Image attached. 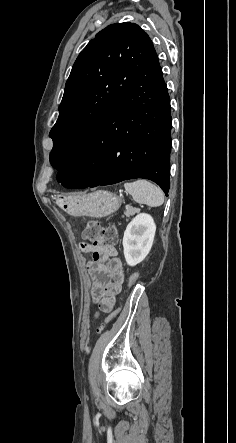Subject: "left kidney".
<instances>
[{
  "label": "left kidney",
  "instance_id": "5707ae66",
  "mask_svg": "<svg viewBox=\"0 0 236 443\" xmlns=\"http://www.w3.org/2000/svg\"><path fill=\"white\" fill-rule=\"evenodd\" d=\"M155 232L154 220L146 213L138 214L128 224L122 242L128 265L135 266L146 258L152 248Z\"/></svg>",
  "mask_w": 236,
  "mask_h": 443
}]
</instances>
